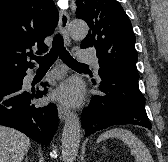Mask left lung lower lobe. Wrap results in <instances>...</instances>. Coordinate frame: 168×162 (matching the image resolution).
<instances>
[{
    "mask_svg": "<svg viewBox=\"0 0 168 162\" xmlns=\"http://www.w3.org/2000/svg\"><path fill=\"white\" fill-rule=\"evenodd\" d=\"M99 89L82 112L85 136L114 125L134 124L151 129L145 110V99L139 90L138 80L116 72H102Z\"/></svg>",
    "mask_w": 168,
    "mask_h": 162,
    "instance_id": "left-lung-lower-lobe-1",
    "label": "left lung lower lobe"
}]
</instances>
